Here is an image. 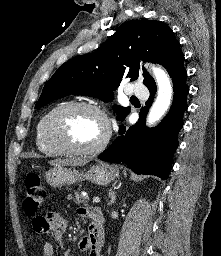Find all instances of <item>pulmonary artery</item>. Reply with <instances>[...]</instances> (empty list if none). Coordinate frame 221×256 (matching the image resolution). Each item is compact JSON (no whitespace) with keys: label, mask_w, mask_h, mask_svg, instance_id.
<instances>
[{"label":"pulmonary artery","mask_w":221,"mask_h":256,"mask_svg":"<svg viewBox=\"0 0 221 256\" xmlns=\"http://www.w3.org/2000/svg\"><path fill=\"white\" fill-rule=\"evenodd\" d=\"M129 94L140 98H145L148 96V89L142 83H135L131 85Z\"/></svg>","instance_id":"1"}]
</instances>
